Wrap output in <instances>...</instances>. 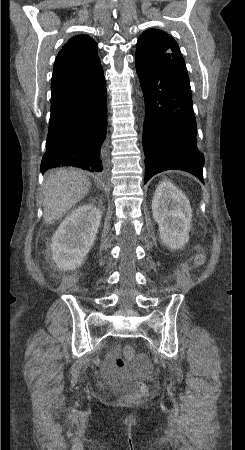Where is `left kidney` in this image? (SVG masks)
I'll return each instance as SVG.
<instances>
[{
    "instance_id": "5707ae66",
    "label": "left kidney",
    "mask_w": 245,
    "mask_h": 450,
    "mask_svg": "<svg viewBox=\"0 0 245 450\" xmlns=\"http://www.w3.org/2000/svg\"><path fill=\"white\" fill-rule=\"evenodd\" d=\"M152 214L159 226L161 241L171 249H181L189 241L192 209L185 194L168 181L161 182L152 200Z\"/></svg>"
}]
</instances>
